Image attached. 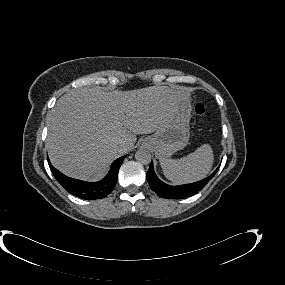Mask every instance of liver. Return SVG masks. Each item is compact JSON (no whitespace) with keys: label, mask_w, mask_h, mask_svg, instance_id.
Segmentation results:
<instances>
[{"label":"liver","mask_w":285,"mask_h":285,"mask_svg":"<svg viewBox=\"0 0 285 285\" xmlns=\"http://www.w3.org/2000/svg\"><path fill=\"white\" fill-rule=\"evenodd\" d=\"M181 93L168 86L67 92L47 119L46 147L52 164L74 178L101 179L117 153L132 149L136 134L153 133L166 123ZM119 143L123 146L117 148Z\"/></svg>","instance_id":"1"}]
</instances>
